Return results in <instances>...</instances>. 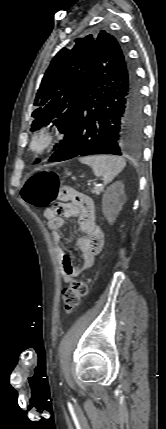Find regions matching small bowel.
<instances>
[{
    "label": "small bowel",
    "mask_w": 166,
    "mask_h": 429,
    "mask_svg": "<svg viewBox=\"0 0 166 429\" xmlns=\"http://www.w3.org/2000/svg\"><path fill=\"white\" fill-rule=\"evenodd\" d=\"M77 216L79 218L80 230L85 236L77 239L76 247L82 258V265L77 267L73 264L70 256L61 247V228L64 224L63 218ZM48 228L52 231L54 242V253L60 267V273L65 282L71 281L82 271L90 268L96 255L102 250L105 234L96 222L95 206L89 199L86 206L77 205L68 200L50 207L44 211Z\"/></svg>",
    "instance_id": "obj_1"
}]
</instances>
